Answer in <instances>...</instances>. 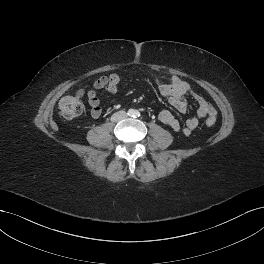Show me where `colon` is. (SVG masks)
Instances as JSON below:
<instances>
[{
	"instance_id": "5ec220e1",
	"label": "colon",
	"mask_w": 264,
	"mask_h": 264,
	"mask_svg": "<svg viewBox=\"0 0 264 264\" xmlns=\"http://www.w3.org/2000/svg\"><path fill=\"white\" fill-rule=\"evenodd\" d=\"M118 85L113 84V87L117 88ZM60 114L67 120H72L78 117L82 112V105L79 99L75 96H65L59 102ZM216 119L209 117L206 120L207 126H214Z\"/></svg>"
}]
</instances>
